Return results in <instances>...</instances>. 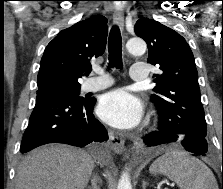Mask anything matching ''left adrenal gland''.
<instances>
[{
    "label": "left adrenal gland",
    "mask_w": 223,
    "mask_h": 189,
    "mask_svg": "<svg viewBox=\"0 0 223 189\" xmlns=\"http://www.w3.org/2000/svg\"><path fill=\"white\" fill-rule=\"evenodd\" d=\"M148 185V183L147 182H143V185H142V187H143V189H146V186Z\"/></svg>",
    "instance_id": "obj_1"
}]
</instances>
